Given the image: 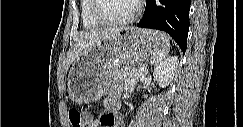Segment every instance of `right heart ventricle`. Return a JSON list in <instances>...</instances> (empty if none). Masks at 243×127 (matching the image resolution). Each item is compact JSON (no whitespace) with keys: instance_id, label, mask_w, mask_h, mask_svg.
<instances>
[{"instance_id":"e07e8e85","label":"right heart ventricle","mask_w":243,"mask_h":127,"mask_svg":"<svg viewBox=\"0 0 243 127\" xmlns=\"http://www.w3.org/2000/svg\"><path fill=\"white\" fill-rule=\"evenodd\" d=\"M93 0H82L80 3V13L82 24L87 29H95L103 24L98 22L93 16Z\"/></svg>"}]
</instances>
